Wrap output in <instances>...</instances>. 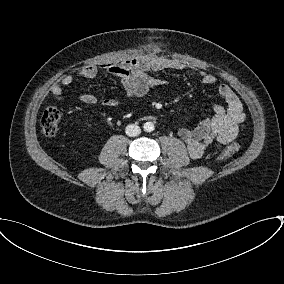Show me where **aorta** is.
I'll return each mask as SVG.
<instances>
[{"label": "aorta", "mask_w": 284, "mask_h": 284, "mask_svg": "<svg viewBox=\"0 0 284 284\" xmlns=\"http://www.w3.org/2000/svg\"><path fill=\"white\" fill-rule=\"evenodd\" d=\"M144 131L146 132H152L155 129V126L152 122H146L143 125Z\"/></svg>", "instance_id": "aorta-1"}]
</instances>
